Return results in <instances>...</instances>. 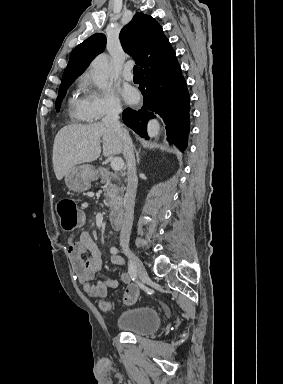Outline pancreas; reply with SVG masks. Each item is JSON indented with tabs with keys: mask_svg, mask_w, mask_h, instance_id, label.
I'll list each match as a JSON object with an SVG mask.
<instances>
[{
	"mask_svg": "<svg viewBox=\"0 0 283 384\" xmlns=\"http://www.w3.org/2000/svg\"><path fill=\"white\" fill-rule=\"evenodd\" d=\"M101 176V184H105L106 190L104 196L106 198V204L111 210L112 214H115L123 204V194L119 184H113L114 180H118V174L116 172H108L107 168H99Z\"/></svg>",
	"mask_w": 283,
	"mask_h": 384,
	"instance_id": "cf45deb5",
	"label": "pancreas"
}]
</instances>
